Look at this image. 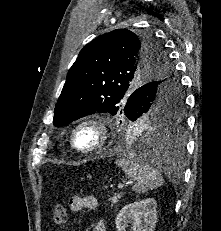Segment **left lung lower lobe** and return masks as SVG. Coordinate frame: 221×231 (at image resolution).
I'll return each instance as SVG.
<instances>
[{
	"label": "left lung lower lobe",
	"instance_id": "1",
	"mask_svg": "<svg viewBox=\"0 0 221 231\" xmlns=\"http://www.w3.org/2000/svg\"><path fill=\"white\" fill-rule=\"evenodd\" d=\"M181 96H183L182 91ZM139 100L140 91L136 90L130 96V102L136 105ZM138 113H132V115L128 117V119L131 121H135L138 117ZM183 123L184 121L174 127L178 131H175L174 133L173 131H171L172 134H170L166 138H164L163 134H160V127H157V124L155 125V127L159 129L158 132H156L157 130L152 129H146L144 131L130 130L123 134V138L124 140L132 142L136 146L142 148V151L148 154L147 158L149 161L156 164L165 165V159H167L166 163L168 164L172 161H176L183 153L184 143L180 133Z\"/></svg>",
	"mask_w": 221,
	"mask_h": 231
}]
</instances>
